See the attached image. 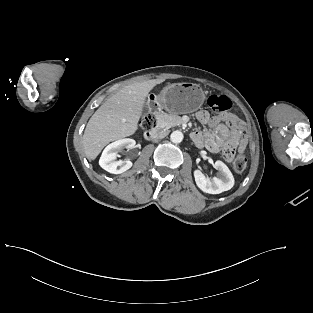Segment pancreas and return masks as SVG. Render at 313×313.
Wrapping results in <instances>:
<instances>
[{"mask_svg":"<svg viewBox=\"0 0 313 313\" xmlns=\"http://www.w3.org/2000/svg\"><path fill=\"white\" fill-rule=\"evenodd\" d=\"M156 124L160 128L169 129L183 124L182 118L175 114L160 112L156 115Z\"/></svg>","mask_w":313,"mask_h":313,"instance_id":"cf45deb5","label":"pancreas"}]
</instances>
